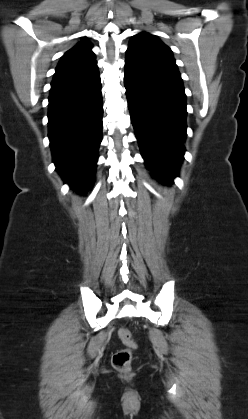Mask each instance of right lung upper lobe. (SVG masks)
Returning a JSON list of instances; mask_svg holds the SVG:
<instances>
[{
  "mask_svg": "<svg viewBox=\"0 0 248 419\" xmlns=\"http://www.w3.org/2000/svg\"><path fill=\"white\" fill-rule=\"evenodd\" d=\"M92 45L83 39L78 45L67 51L56 67L55 77L76 72L95 63Z\"/></svg>",
  "mask_w": 248,
  "mask_h": 419,
  "instance_id": "obj_1",
  "label": "right lung upper lobe"
}]
</instances>
